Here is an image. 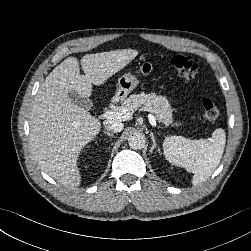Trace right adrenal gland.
I'll use <instances>...</instances> for the list:
<instances>
[{
	"instance_id": "right-adrenal-gland-1",
	"label": "right adrenal gland",
	"mask_w": 251,
	"mask_h": 251,
	"mask_svg": "<svg viewBox=\"0 0 251 251\" xmlns=\"http://www.w3.org/2000/svg\"><path fill=\"white\" fill-rule=\"evenodd\" d=\"M104 134L108 135L109 137H113L114 134L113 133H110V132H107V131H103Z\"/></svg>"
}]
</instances>
